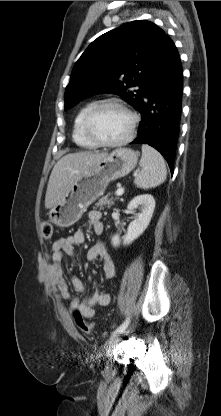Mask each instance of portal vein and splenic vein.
<instances>
[{
	"mask_svg": "<svg viewBox=\"0 0 221 416\" xmlns=\"http://www.w3.org/2000/svg\"><path fill=\"white\" fill-rule=\"evenodd\" d=\"M123 193H124V189H123V188H121V187H120V188H118V189H117V191H116V195H117V196H122V195H123Z\"/></svg>",
	"mask_w": 221,
	"mask_h": 416,
	"instance_id": "portal-vein-and-splenic-vein-1",
	"label": "portal vein and splenic vein"
}]
</instances>
